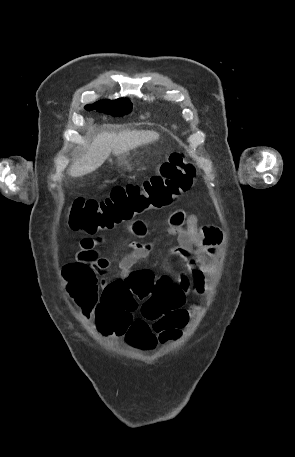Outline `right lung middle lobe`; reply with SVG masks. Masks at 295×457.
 Listing matches in <instances>:
<instances>
[{
    "label": "right lung middle lobe",
    "instance_id": "obj_1",
    "mask_svg": "<svg viewBox=\"0 0 295 457\" xmlns=\"http://www.w3.org/2000/svg\"><path fill=\"white\" fill-rule=\"evenodd\" d=\"M87 110L95 109L98 112L111 114L113 116H123L130 113L132 103L128 99L104 100L85 107Z\"/></svg>",
    "mask_w": 295,
    "mask_h": 457
}]
</instances>
